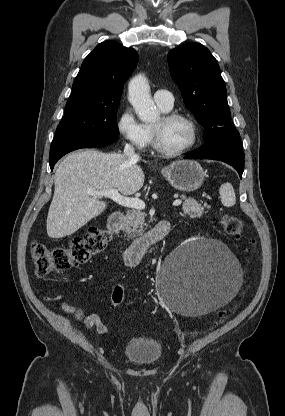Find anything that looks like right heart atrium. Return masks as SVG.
Returning <instances> with one entry per match:
<instances>
[{"label":"right heart atrium","mask_w":285,"mask_h":416,"mask_svg":"<svg viewBox=\"0 0 285 416\" xmlns=\"http://www.w3.org/2000/svg\"><path fill=\"white\" fill-rule=\"evenodd\" d=\"M118 131L123 140L138 150H145L150 144V133L146 125L135 116L131 107L123 108L119 114Z\"/></svg>","instance_id":"right-heart-atrium-1"}]
</instances>
